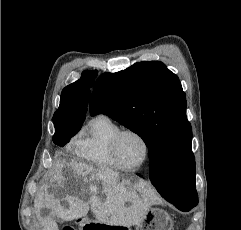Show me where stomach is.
Segmentation results:
<instances>
[{
	"instance_id": "obj_1",
	"label": "stomach",
	"mask_w": 241,
	"mask_h": 230,
	"mask_svg": "<svg viewBox=\"0 0 241 230\" xmlns=\"http://www.w3.org/2000/svg\"><path fill=\"white\" fill-rule=\"evenodd\" d=\"M121 180V176H118L117 182ZM122 179L121 182H125ZM173 221L170 215L159 208H149L145 213L142 221L135 225V230H172ZM131 230L129 227L119 225H109L99 222L98 220L85 219L80 224V230Z\"/></svg>"
}]
</instances>
